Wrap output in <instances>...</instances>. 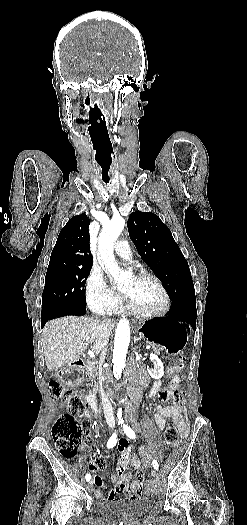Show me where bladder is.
Listing matches in <instances>:
<instances>
[{
  "mask_svg": "<svg viewBox=\"0 0 247 525\" xmlns=\"http://www.w3.org/2000/svg\"><path fill=\"white\" fill-rule=\"evenodd\" d=\"M155 504L150 495H142L137 498L111 500L106 503L107 511L118 518H138L147 515Z\"/></svg>",
  "mask_w": 247,
  "mask_h": 525,
  "instance_id": "31cf9c89",
  "label": "bladder"
}]
</instances>
